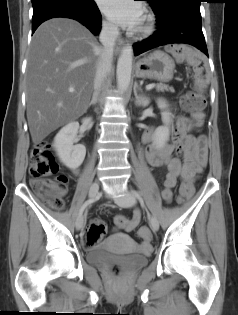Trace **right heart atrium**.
I'll use <instances>...</instances> for the list:
<instances>
[{"instance_id": "1", "label": "right heart atrium", "mask_w": 238, "mask_h": 315, "mask_svg": "<svg viewBox=\"0 0 238 315\" xmlns=\"http://www.w3.org/2000/svg\"><path fill=\"white\" fill-rule=\"evenodd\" d=\"M103 30L107 33V34H114L115 33V27L113 24H111L108 21H104L103 22Z\"/></svg>"}]
</instances>
